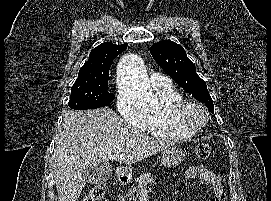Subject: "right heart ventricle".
Segmentation results:
<instances>
[{
    "label": "right heart ventricle",
    "instance_id": "1",
    "mask_svg": "<svg viewBox=\"0 0 271 201\" xmlns=\"http://www.w3.org/2000/svg\"><path fill=\"white\" fill-rule=\"evenodd\" d=\"M155 93L160 107L156 112L145 115L146 121L142 129L154 137L168 140L186 139L195 136L198 130L180 124L169 111L171 105L184 100L182 95L171 85L155 87Z\"/></svg>",
    "mask_w": 271,
    "mask_h": 201
}]
</instances>
